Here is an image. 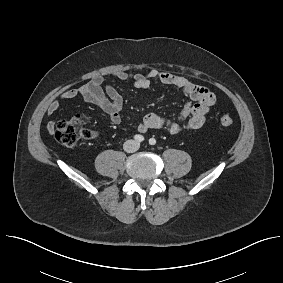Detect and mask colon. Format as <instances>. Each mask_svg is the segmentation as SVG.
<instances>
[{"label":"colon","instance_id":"colon-1","mask_svg":"<svg viewBox=\"0 0 283 283\" xmlns=\"http://www.w3.org/2000/svg\"><path fill=\"white\" fill-rule=\"evenodd\" d=\"M219 122L223 127H230L233 124V119L228 115H223ZM54 135L62 145L72 147L82 138H94L96 132L88 126V118L84 114H76L69 119L56 123Z\"/></svg>","mask_w":283,"mask_h":283}]
</instances>
